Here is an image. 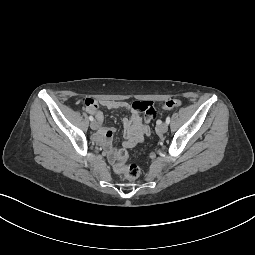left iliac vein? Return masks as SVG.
I'll list each match as a JSON object with an SVG mask.
<instances>
[{
    "mask_svg": "<svg viewBox=\"0 0 255 255\" xmlns=\"http://www.w3.org/2000/svg\"><path fill=\"white\" fill-rule=\"evenodd\" d=\"M158 130L161 133H166L168 131V124L166 122H163L159 127Z\"/></svg>",
    "mask_w": 255,
    "mask_h": 255,
    "instance_id": "1",
    "label": "left iliac vein"
}]
</instances>
